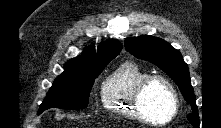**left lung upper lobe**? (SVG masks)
Masks as SVG:
<instances>
[{"mask_svg":"<svg viewBox=\"0 0 221 128\" xmlns=\"http://www.w3.org/2000/svg\"><path fill=\"white\" fill-rule=\"evenodd\" d=\"M125 47L135 57L157 65L174 80L192 107V113L187 116L188 120L194 127H199V114L194 90L191 86L188 66L181 53L166 41L148 35L127 38Z\"/></svg>","mask_w":221,"mask_h":128,"instance_id":"1","label":"left lung upper lobe"}]
</instances>
